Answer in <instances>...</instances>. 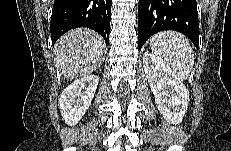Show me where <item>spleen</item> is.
Wrapping results in <instances>:
<instances>
[{
    "label": "spleen",
    "mask_w": 231,
    "mask_h": 151,
    "mask_svg": "<svg viewBox=\"0 0 231 151\" xmlns=\"http://www.w3.org/2000/svg\"><path fill=\"white\" fill-rule=\"evenodd\" d=\"M152 52L166 62L180 80L189 77L194 65V53L188 39L175 31L160 32L150 39Z\"/></svg>",
    "instance_id": "spleen-1"
}]
</instances>
